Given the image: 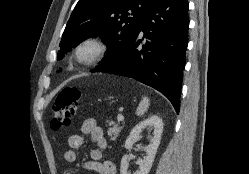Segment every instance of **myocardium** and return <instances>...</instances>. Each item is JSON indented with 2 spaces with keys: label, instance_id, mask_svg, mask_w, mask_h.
<instances>
[{
  "label": "myocardium",
  "instance_id": "f54148a6",
  "mask_svg": "<svg viewBox=\"0 0 249 174\" xmlns=\"http://www.w3.org/2000/svg\"><path fill=\"white\" fill-rule=\"evenodd\" d=\"M86 47H92L94 52L88 56L84 57L82 51ZM109 46L107 42L100 36H89L82 39L75 48L76 59L84 65H93L101 61L107 54Z\"/></svg>",
  "mask_w": 249,
  "mask_h": 174
}]
</instances>
